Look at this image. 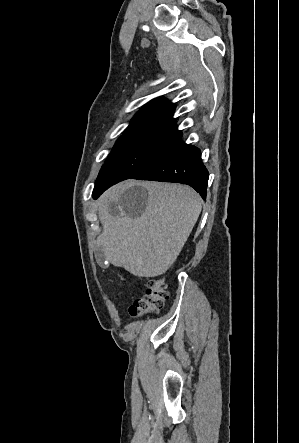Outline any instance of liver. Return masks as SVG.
<instances>
[{
	"instance_id": "6515ba94",
	"label": "liver",
	"mask_w": 299,
	"mask_h": 443,
	"mask_svg": "<svg viewBox=\"0 0 299 443\" xmlns=\"http://www.w3.org/2000/svg\"><path fill=\"white\" fill-rule=\"evenodd\" d=\"M129 189L130 200L123 202ZM98 205L103 231L97 245L104 248L105 259L135 276L156 277L180 254L201 213L202 200L189 186L130 181L107 190Z\"/></svg>"
}]
</instances>
